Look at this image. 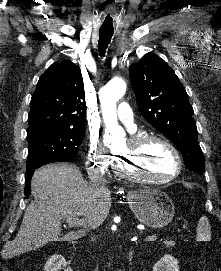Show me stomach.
<instances>
[{"label": "stomach", "instance_id": "stomach-1", "mask_svg": "<svg viewBox=\"0 0 221 271\" xmlns=\"http://www.w3.org/2000/svg\"><path fill=\"white\" fill-rule=\"evenodd\" d=\"M128 203L137 219L148 227H165L173 219L174 205L164 191L134 189L128 195Z\"/></svg>", "mask_w": 221, "mask_h": 271}]
</instances>
